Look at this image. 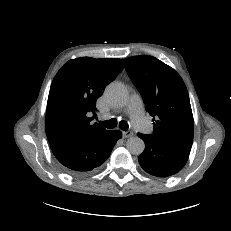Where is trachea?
Masks as SVG:
<instances>
[{
  "label": "trachea",
  "instance_id": "obj_1",
  "mask_svg": "<svg viewBox=\"0 0 231 231\" xmlns=\"http://www.w3.org/2000/svg\"><path fill=\"white\" fill-rule=\"evenodd\" d=\"M99 123H100L102 126L108 128V129H113V128H115V127L117 126V120H116L115 118H112V119H110V120H108V121H103V122L100 121ZM119 128H120L121 130L126 131V130H128L129 126H128L127 122H125V121H120V122H119Z\"/></svg>",
  "mask_w": 231,
  "mask_h": 231
}]
</instances>
